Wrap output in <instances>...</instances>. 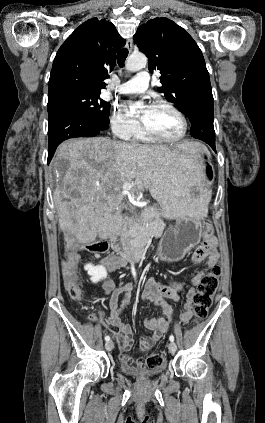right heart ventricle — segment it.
<instances>
[{"label":"right heart ventricle","mask_w":265,"mask_h":423,"mask_svg":"<svg viewBox=\"0 0 265 423\" xmlns=\"http://www.w3.org/2000/svg\"><path fill=\"white\" fill-rule=\"evenodd\" d=\"M133 139H135V140H141V141H143V142H145V143H150V142H152V140H151V139H149L148 137H146V136L142 133V131H139Z\"/></svg>","instance_id":"1"}]
</instances>
